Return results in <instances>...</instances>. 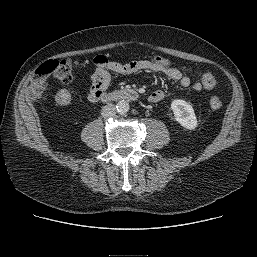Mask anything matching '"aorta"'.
Instances as JSON below:
<instances>
[{
    "mask_svg": "<svg viewBox=\"0 0 257 257\" xmlns=\"http://www.w3.org/2000/svg\"><path fill=\"white\" fill-rule=\"evenodd\" d=\"M129 103L125 100L118 101L116 109L120 114H124L129 111Z\"/></svg>",
    "mask_w": 257,
    "mask_h": 257,
    "instance_id": "aorta-1",
    "label": "aorta"
}]
</instances>
